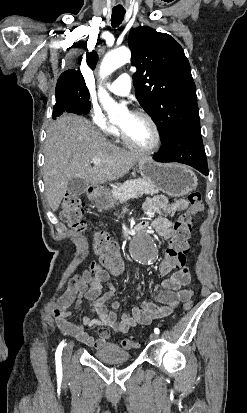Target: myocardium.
Masks as SVG:
<instances>
[{"instance_id":"1","label":"myocardium","mask_w":247,"mask_h":413,"mask_svg":"<svg viewBox=\"0 0 247 413\" xmlns=\"http://www.w3.org/2000/svg\"><path fill=\"white\" fill-rule=\"evenodd\" d=\"M138 115L141 118H144L145 120H147L148 123L150 124V126L154 129L155 135H156L155 141L150 145L140 144V143L136 142L135 140H133L131 137H129L122 128H119V132H120L122 140L124 141V143L127 146H129L130 148H133V149H135L139 152H151V151H154V150L158 149L162 145V142H163V133H162L161 128L155 122V120L152 118V116L150 114H148L147 112L140 111V112H138Z\"/></svg>"}]
</instances>
